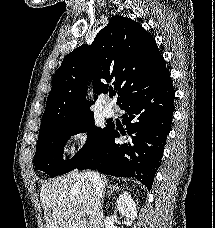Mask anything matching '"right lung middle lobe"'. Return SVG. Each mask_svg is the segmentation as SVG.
Returning a JSON list of instances; mask_svg holds the SVG:
<instances>
[{
	"instance_id": "dd1d6c3e",
	"label": "right lung middle lobe",
	"mask_w": 215,
	"mask_h": 228,
	"mask_svg": "<svg viewBox=\"0 0 215 228\" xmlns=\"http://www.w3.org/2000/svg\"><path fill=\"white\" fill-rule=\"evenodd\" d=\"M111 128L112 125L95 127L93 115L41 127L33 160L35 168L51 177L72 171L107 138ZM83 132H88L85 145L72 159L63 160V148L68 138Z\"/></svg>"
}]
</instances>
